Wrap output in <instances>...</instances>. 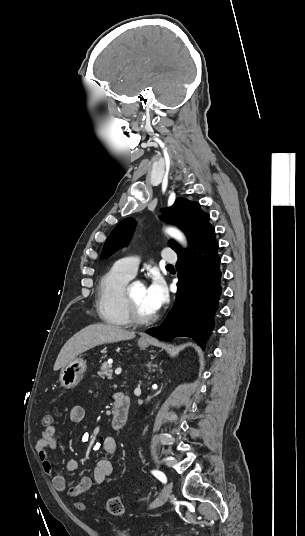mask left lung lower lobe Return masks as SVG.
Here are the masks:
<instances>
[{
  "label": "left lung lower lobe",
  "instance_id": "0a47b994",
  "mask_svg": "<svg viewBox=\"0 0 305 536\" xmlns=\"http://www.w3.org/2000/svg\"><path fill=\"white\" fill-rule=\"evenodd\" d=\"M218 243L212 227L187 252L178 255L177 299L168 317L157 328L147 330L163 341L192 337L205 348L214 325V312L222 292Z\"/></svg>",
  "mask_w": 305,
  "mask_h": 536
}]
</instances>
